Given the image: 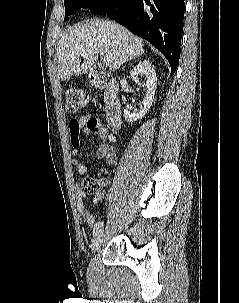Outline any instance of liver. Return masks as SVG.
I'll return each instance as SVG.
<instances>
[{"label": "liver", "mask_w": 239, "mask_h": 303, "mask_svg": "<svg viewBox=\"0 0 239 303\" xmlns=\"http://www.w3.org/2000/svg\"><path fill=\"white\" fill-rule=\"evenodd\" d=\"M56 60L60 79L93 71L98 54L109 57L110 70L115 71L145 51L141 38L123 26L108 20L92 19L77 24L63 35L57 45ZM83 52L86 55H82ZM81 57L85 60L81 63Z\"/></svg>", "instance_id": "liver-1"}]
</instances>
